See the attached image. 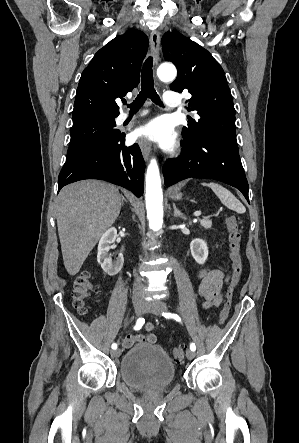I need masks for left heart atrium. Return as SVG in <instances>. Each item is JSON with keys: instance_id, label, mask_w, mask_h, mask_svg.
<instances>
[{"instance_id": "1", "label": "left heart atrium", "mask_w": 299, "mask_h": 443, "mask_svg": "<svg viewBox=\"0 0 299 443\" xmlns=\"http://www.w3.org/2000/svg\"><path fill=\"white\" fill-rule=\"evenodd\" d=\"M135 138H150L158 140L162 145L171 147L175 141V134L168 120L156 119L134 134Z\"/></svg>"}]
</instances>
